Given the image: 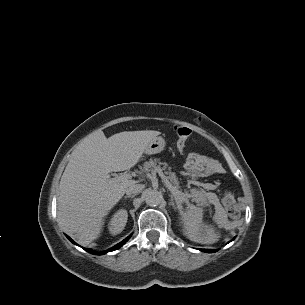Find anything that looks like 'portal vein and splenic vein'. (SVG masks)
Listing matches in <instances>:
<instances>
[{"mask_svg": "<svg viewBox=\"0 0 305 305\" xmlns=\"http://www.w3.org/2000/svg\"><path fill=\"white\" fill-rule=\"evenodd\" d=\"M156 173H158V175L161 177V179L163 180V182L165 183V185L174 193V194H177L178 195V198L183 200V201H186L188 202L187 199L183 198V197H180L178 192H175V189L174 187L171 185V183L169 182L168 178L163 174L162 170L161 169H155L154 170ZM131 178V175L129 174H123V175H120V176H117L113 179H111L113 182H122V181H126L128 179Z\"/></svg>", "mask_w": 305, "mask_h": 305, "instance_id": "1", "label": "portal vein and splenic vein"}]
</instances>
